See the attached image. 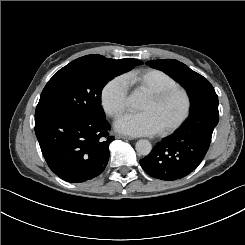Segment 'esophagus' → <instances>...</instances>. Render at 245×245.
<instances>
[{
	"mask_svg": "<svg viewBox=\"0 0 245 245\" xmlns=\"http://www.w3.org/2000/svg\"><path fill=\"white\" fill-rule=\"evenodd\" d=\"M116 138L117 139H127V140H134L135 139L134 137L123 135V134H117Z\"/></svg>",
	"mask_w": 245,
	"mask_h": 245,
	"instance_id": "obj_1",
	"label": "esophagus"
}]
</instances>
